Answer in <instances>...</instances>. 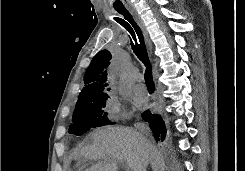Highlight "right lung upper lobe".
Returning <instances> with one entry per match:
<instances>
[{"label":"right lung upper lobe","mask_w":245,"mask_h":171,"mask_svg":"<svg viewBox=\"0 0 245 171\" xmlns=\"http://www.w3.org/2000/svg\"><path fill=\"white\" fill-rule=\"evenodd\" d=\"M111 54L107 50L98 52L92 59L84 76L85 87L80 92L78 100L88 99L97 95L106 94V68L110 64Z\"/></svg>","instance_id":"cb5924a9"}]
</instances>
